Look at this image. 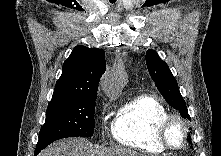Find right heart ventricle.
Listing matches in <instances>:
<instances>
[{"label": "right heart ventricle", "mask_w": 221, "mask_h": 156, "mask_svg": "<svg viewBox=\"0 0 221 156\" xmlns=\"http://www.w3.org/2000/svg\"><path fill=\"white\" fill-rule=\"evenodd\" d=\"M168 114L158 98L138 95L117 112L111 126L112 136L123 146L148 154H161L166 148L159 141L157 131Z\"/></svg>", "instance_id": "1"}]
</instances>
